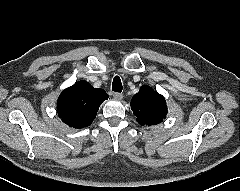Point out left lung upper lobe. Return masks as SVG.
<instances>
[{
	"instance_id": "1",
	"label": "left lung upper lobe",
	"mask_w": 240,
	"mask_h": 191,
	"mask_svg": "<svg viewBox=\"0 0 240 191\" xmlns=\"http://www.w3.org/2000/svg\"><path fill=\"white\" fill-rule=\"evenodd\" d=\"M131 109L143 126L159 124L167 115L164 97L146 85L131 99Z\"/></svg>"
}]
</instances>
